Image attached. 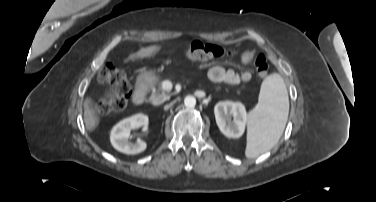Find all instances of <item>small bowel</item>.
Returning <instances> with one entry per match:
<instances>
[{"label":"small bowel","mask_w":376,"mask_h":202,"mask_svg":"<svg viewBox=\"0 0 376 202\" xmlns=\"http://www.w3.org/2000/svg\"><path fill=\"white\" fill-rule=\"evenodd\" d=\"M253 57L254 51H250L249 54L244 53V55L242 56L243 64H249ZM207 76L213 82L226 83L231 85L245 83L251 79V73L248 71L237 73L232 69H225L220 65L210 66L207 70Z\"/></svg>","instance_id":"1"}]
</instances>
